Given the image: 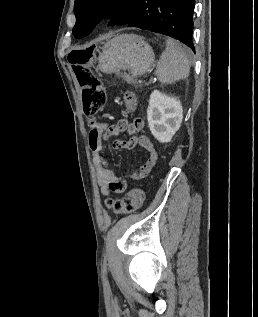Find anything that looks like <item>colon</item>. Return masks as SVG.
I'll list each match as a JSON object with an SVG mask.
<instances>
[{
  "mask_svg": "<svg viewBox=\"0 0 258 317\" xmlns=\"http://www.w3.org/2000/svg\"><path fill=\"white\" fill-rule=\"evenodd\" d=\"M94 52L93 47H80L71 50L68 55L69 63L82 91L83 111L89 117L98 113L106 103L104 86L100 79L89 69V63ZM123 99L126 110L132 111L135 107L134 95L131 92H125ZM90 126L92 129L97 128V123L93 118L90 119ZM144 199V192L136 188L122 199H108L106 205L118 215H127L140 209Z\"/></svg>",
  "mask_w": 258,
  "mask_h": 317,
  "instance_id": "obj_1",
  "label": "colon"
}]
</instances>
